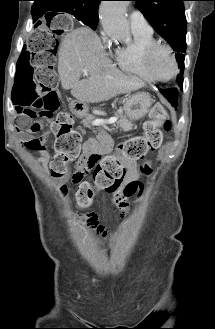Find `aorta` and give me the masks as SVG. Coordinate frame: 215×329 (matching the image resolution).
I'll list each match as a JSON object with an SVG mask.
<instances>
[{
	"instance_id": "aorta-1",
	"label": "aorta",
	"mask_w": 215,
	"mask_h": 329,
	"mask_svg": "<svg viewBox=\"0 0 215 329\" xmlns=\"http://www.w3.org/2000/svg\"><path fill=\"white\" fill-rule=\"evenodd\" d=\"M128 1H103L100 7V20L106 33L119 41L130 37V27L126 18Z\"/></svg>"
}]
</instances>
